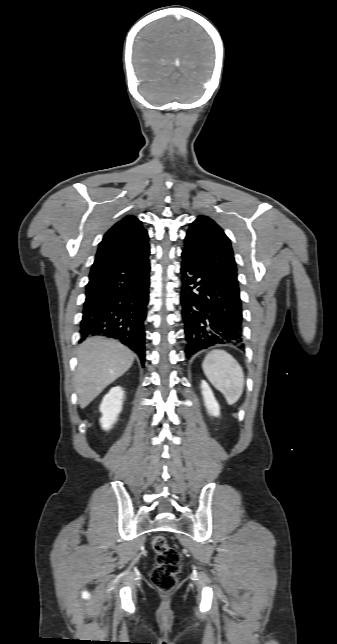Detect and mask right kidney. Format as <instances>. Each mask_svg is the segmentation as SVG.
I'll return each instance as SVG.
<instances>
[{"mask_svg":"<svg viewBox=\"0 0 337 644\" xmlns=\"http://www.w3.org/2000/svg\"><path fill=\"white\" fill-rule=\"evenodd\" d=\"M123 399L124 391L119 386L113 387L104 396L100 404V412L102 413L100 423L104 430H109L117 420L118 414L122 410Z\"/></svg>","mask_w":337,"mask_h":644,"instance_id":"obj_1","label":"right kidney"}]
</instances>
